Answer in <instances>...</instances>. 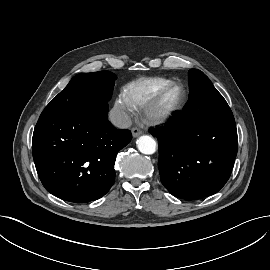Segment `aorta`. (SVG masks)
I'll list each match as a JSON object with an SVG mask.
<instances>
[{
  "instance_id": "obj_1",
  "label": "aorta",
  "mask_w": 270,
  "mask_h": 270,
  "mask_svg": "<svg viewBox=\"0 0 270 270\" xmlns=\"http://www.w3.org/2000/svg\"><path fill=\"white\" fill-rule=\"evenodd\" d=\"M138 150L146 155H151L156 151V141L148 135H142L137 140Z\"/></svg>"
}]
</instances>
